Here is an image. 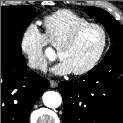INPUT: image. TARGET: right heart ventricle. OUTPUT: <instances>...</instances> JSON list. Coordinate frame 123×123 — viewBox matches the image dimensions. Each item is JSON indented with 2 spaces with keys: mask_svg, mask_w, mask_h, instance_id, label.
<instances>
[{
  "mask_svg": "<svg viewBox=\"0 0 123 123\" xmlns=\"http://www.w3.org/2000/svg\"><path fill=\"white\" fill-rule=\"evenodd\" d=\"M90 21L68 9H60L42 20L44 35L54 48L59 46L79 27Z\"/></svg>",
  "mask_w": 123,
  "mask_h": 123,
  "instance_id": "obj_1",
  "label": "right heart ventricle"
}]
</instances>
